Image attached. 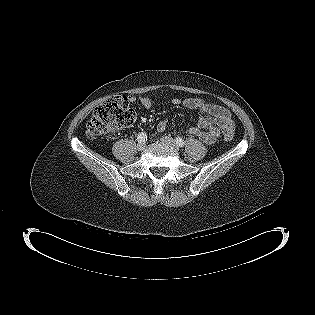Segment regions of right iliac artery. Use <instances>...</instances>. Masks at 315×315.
Returning a JSON list of instances; mask_svg holds the SVG:
<instances>
[{
	"instance_id": "1",
	"label": "right iliac artery",
	"mask_w": 315,
	"mask_h": 315,
	"mask_svg": "<svg viewBox=\"0 0 315 315\" xmlns=\"http://www.w3.org/2000/svg\"><path fill=\"white\" fill-rule=\"evenodd\" d=\"M137 141L139 143H144L145 141H147V135L144 132H141L140 134H138L137 136Z\"/></svg>"
}]
</instances>
